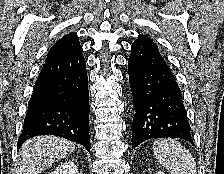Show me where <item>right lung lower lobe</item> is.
<instances>
[{
	"mask_svg": "<svg viewBox=\"0 0 224 174\" xmlns=\"http://www.w3.org/2000/svg\"><path fill=\"white\" fill-rule=\"evenodd\" d=\"M89 91L82 53L45 63L28 103L18 148L38 135H56L90 151Z\"/></svg>",
	"mask_w": 224,
	"mask_h": 174,
	"instance_id": "obj_1",
	"label": "right lung lower lobe"
}]
</instances>
